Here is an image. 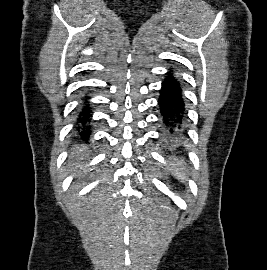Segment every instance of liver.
<instances>
[{"mask_svg": "<svg viewBox=\"0 0 267 270\" xmlns=\"http://www.w3.org/2000/svg\"><path fill=\"white\" fill-rule=\"evenodd\" d=\"M86 149L87 147L84 145L81 146H77L76 148H73L71 150V157H81L82 155L86 154ZM75 166L76 168H78V164L77 163H69V167H73Z\"/></svg>", "mask_w": 267, "mask_h": 270, "instance_id": "1", "label": "liver"}]
</instances>
